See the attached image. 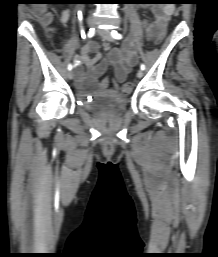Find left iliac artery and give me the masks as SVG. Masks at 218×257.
Returning <instances> with one entry per match:
<instances>
[{
  "label": "left iliac artery",
  "instance_id": "left-iliac-artery-1",
  "mask_svg": "<svg viewBox=\"0 0 218 257\" xmlns=\"http://www.w3.org/2000/svg\"><path fill=\"white\" fill-rule=\"evenodd\" d=\"M111 35L114 39H118V40L122 39V35L120 33H118L116 30H112ZM140 68H141V70H144L145 65L141 64Z\"/></svg>",
  "mask_w": 218,
  "mask_h": 257
}]
</instances>
